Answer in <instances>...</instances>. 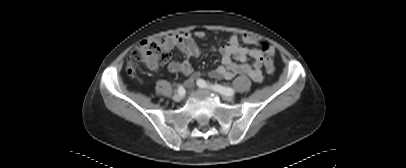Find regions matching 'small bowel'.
<instances>
[{
	"instance_id": "small-bowel-1",
	"label": "small bowel",
	"mask_w": 406,
	"mask_h": 168,
	"mask_svg": "<svg viewBox=\"0 0 406 168\" xmlns=\"http://www.w3.org/2000/svg\"><path fill=\"white\" fill-rule=\"evenodd\" d=\"M195 37L203 39L205 33L197 31ZM241 40L247 45H258L261 42L259 37L250 34L243 35ZM165 42L169 50L178 48L188 58L198 57L201 54V50L196 44L194 37L189 33L169 35L165 38ZM218 51L221 55V65L209 72L211 77L230 80L237 74H244L254 82L260 83L263 81L262 67L264 57L259 49L241 46L239 38L233 35ZM269 54L273 55L274 50L270 49ZM150 68L155 71L157 66H150ZM168 69L171 72L189 76L186 81L187 86H192L195 79L199 76V73L194 72L189 60L182 62L173 61L169 64Z\"/></svg>"
}]
</instances>
